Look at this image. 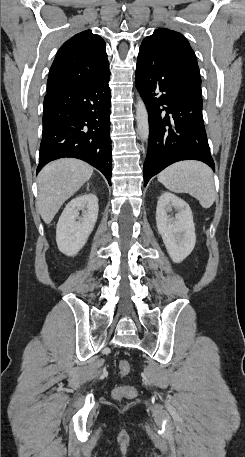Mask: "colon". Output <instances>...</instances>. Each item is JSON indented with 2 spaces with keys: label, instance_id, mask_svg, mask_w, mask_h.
I'll list each match as a JSON object with an SVG mask.
<instances>
[{
  "label": "colon",
  "instance_id": "colon-1",
  "mask_svg": "<svg viewBox=\"0 0 245 457\" xmlns=\"http://www.w3.org/2000/svg\"><path fill=\"white\" fill-rule=\"evenodd\" d=\"M130 365L127 360H121L118 365V371L120 376H125L129 373ZM135 394V389L129 386L116 387L113 391V395L116 399H122L130 397Z\"/></svg>",
  "mask_w": 245,
  "mask_h": 457
}]
</instances>
